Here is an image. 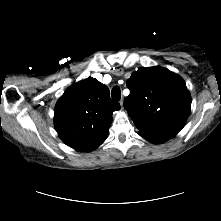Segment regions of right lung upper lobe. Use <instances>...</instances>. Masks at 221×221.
<instances>
[{"label":"right lung upper lobe","instance_id":"cb5924a9","mask_svg":"<svg viewBox=\"0 0 221 221\" xmlns=\"http://www.w3.org/2000/svg\"><path fill=\"white\" fill-rule=\"evenodd\" d=\"M119 109L108 87L89 77L69 87L58 100L54 125L65 144L89 152L105 141L112 114Z\"/></svg>","mask_w":221,"mask_h":221}]
</instances>
